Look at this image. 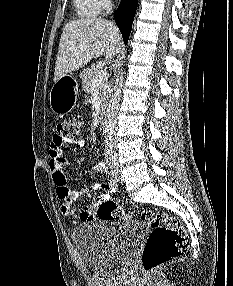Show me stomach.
I'll list each match as a JSON object with an SVG mask.
<instances>
[{
  "instance_id": "stomach-1",
  "label": "stomach",
  "mask_w": 233,
  "mask_h": 286,
  "mask_svg": "<svg viewBox=\"0 0 233 286\" xmlns=\"http://www.w3.org/2000/svg\"><path fill=\"white\" fill-rule=\"evenodd\" d=\"M49 99L50 108L56 115H64L72 109L76 99V90L69 84L66 76L60 78L52 86Z\"/></svg>"
}]
</instances>
